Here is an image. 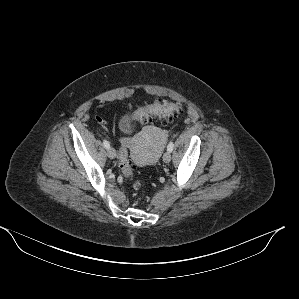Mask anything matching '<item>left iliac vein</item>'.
Returning a JSON list of instances; mask_svg holds the SVG:
<instances>
[{"label":"left iliac vein","instance_id":"4c4485c4","mask_svg":"<svg viewBox=\"0 0 299 299\" xmlns=\"http://www.w3.org/2000/svg\"><path fill=\"white\" fill-rule=\"evenodd\" d=\"M163 161L169 163L171 161V153L169 151L165 152L163 155Z\"/></svg>","mask_w":299,"mask_h":299}]
</instances>
